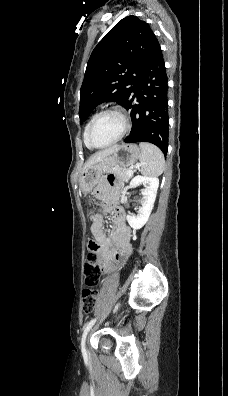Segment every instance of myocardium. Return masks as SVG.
Instances as JSON below:
<instances>
[{
    "label": "myocardium",
    "instance_id": "myocardium-1",
    "mask_svg": "<svg viewBox=\"0 0 228 396\" xmlns=\"http://www.w3.org/2000/svg\"><path fill=\"white\" fill-rule=\"evenodd\" d=\"M110 113L116 114V115H118L121 118V120L123 122V129H122L121 133L113 141L109 142L108 144L102 145V146H97L91 140L92 130L94 128V125L96 124V122L98 121V119L100 117H102L103 115H106V114H110ZM130 127H131L130 119H129L128 115L125 113V111L122 108H120L118 106H113V107L106 108V109L100 111L99 113H97L94 116V118L91 121V123H90V126H89L88 131H87V142H88V145L91 148H93V149H104V148H107L109 146H112L113 144L119 142L120 140H122L125 137V135L130 130Z\"/></svg>",
    "mask_w": 228,
    "mask_h": 396
}]
</instances>
